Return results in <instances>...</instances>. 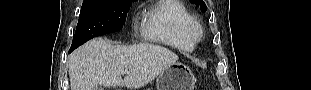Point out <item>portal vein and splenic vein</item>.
<instances>
[{
    "mask_svg": "<svg viewBox=\"0 0 311 90\" xmlns=\"http://www.w3.org/2000/svg\"><path fill=\"white\" fill-rule=\"evenodd\" d=\"M122 73H123V74H128L129 71H128L127 69H124V70H122Z\"/></svg>",
    "mask_w": 311,
    "mask_h": 90,
    "instance_id": "obj_1",
    "label": "portal vein and splenic vein"
}]
</instances>
